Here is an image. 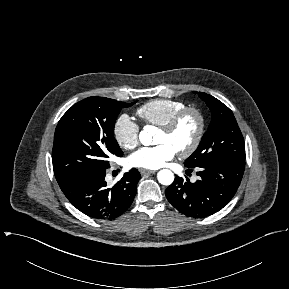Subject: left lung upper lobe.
<instances>
[{
  "label": "left lung upper lobe",
  "instance_id": "5c2ea615",
  "mask_svg": "<svg viewBox=\"0 0 289 289\" xmlns=\"http://www.w3.org/2000/svg\"><path fill=\"white\" fill-rule=\"evenodd\" d=\"M198 95L210 108L212 120L198 148L186 159L185 166L194 168L220 159L245 162L244 139L232 111L209 94L198 92Z\"/></svg>",
  "mask_w": 289,
  "mask_h": 289
}]
</instances>
